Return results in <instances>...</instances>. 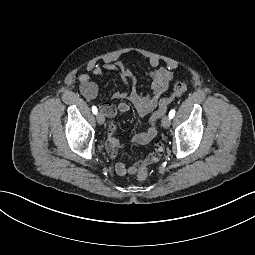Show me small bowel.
Instances as JSON below:
<instances>
[{"mask_svg":"<svg viewBox=\"0 0 255 255\" xmlns=\"http://www.w3.org/2000/svg\"><path fill=\"white\" fill-rule=\"evenodd\" d=\"M149 64L156 70L149 74L151 79L150 93L142 94L136 89V78L132 71L125 66L121 61L104 62L99 65L96 63H89L87 70L94 75L102 76L105 71L116 72L120 81L125 85L127 91H116L112 97L119 100L117 105L109 102H104L99 105L100 110L110 119L114 118L116 114L126 113L130 110V105H133L137 114L144 117L152 113L158 106L162 95L169 88L170 82L173 79V70L168 66H159V60L151 59ZM81 94L88 100H94L98 95V87L96 83L87 74H80L78 76ZM107 149L111 157H116L117 151L125 146L116 137V125L111 122L107 128ZM157 129L156 126L149 127L145 132L134 135L131 139V144L145 145L153 141L154 150L143 160L138 163L127 165L125 162H117L115 164V171L118 175L124 176L126 174L134 175L141 169H147L152 164L159 161L164 153V146L161 141L156 140Z\"/></svg>","mask_w":255,"mask_h":255,"instance_id":"small-bowel-1","label":"small bowel"}]
</instances>
